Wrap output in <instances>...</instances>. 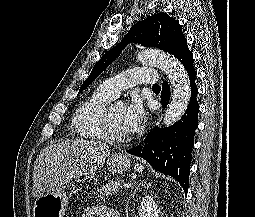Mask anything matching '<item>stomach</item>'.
Instances as JSON below:
<instances>
[{
	"label": "stomach",
	"instance_id": "0dacf381",
	"mask_svg": "<svg viewBox=\"0 0 255 217\" xmlns=\"http://www.w3.org/2000/svg\"><path fill=\"white\" fill-rule=\"evenodd\" d=\"M106 169L112 173L126 172L131 165L127 155L114 153L109 156ZM87 178V177H86ZM81 180L77 179V182ZM68 207V197L62 188L53 193H47L36 199L33 207V217H63Z\"/></svg>",
	"mask_w": 255,
	"mask_h": 217
}]
</instances>
